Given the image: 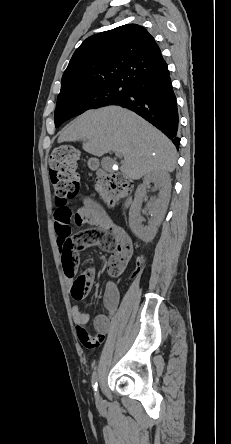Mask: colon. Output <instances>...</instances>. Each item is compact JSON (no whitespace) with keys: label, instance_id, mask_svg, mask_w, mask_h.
<instances>
[{"label":"colon","instance_id":"colon-1","mask_svg":"<svg viewBox=\"0 0 231 444\" xmlns=\"http://www.w3.org/2000/svg\"><path fill=\"white\" fill-rule=\"evenodd\" d=\"M78 154L71 146H62L55 150L49 160L50 180L54 187L57 200H66L77 194L79 189L78 175L76 172ZM131 187L128 178L121 174L108 175L97 183L99 192L108 202H114ZM129 257L124 251H116L109 261V274L118 276L124 270ZM78 256L75 252H65L62 264L69 269H76ZM91 286V272L87 271L78 275L72 284L71 293L76 299L83 298Z\"/></svg>","mask_w":231,"mask_h":444}]
</instances>
